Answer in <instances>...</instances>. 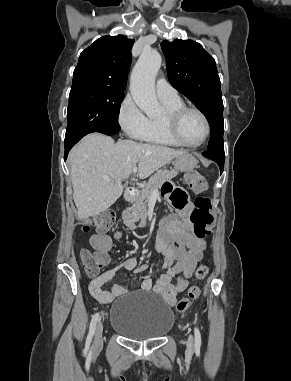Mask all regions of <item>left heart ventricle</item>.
<instances>
[{"label": "left heart ventricle", "mask_w": 291, "mask_h": 381, "mask_svg": "<svg viewBox=\"0 0 291 381\" xmlns=\"http://www.w3.org/2000/svg\"><path fill=\"white\" fill-rule=\"evenodd\" d=\"M181 137L190 144L199 143L205 134L203 119L195 112H187L179 123Z\"/></svg>", "instance_id": "obj_1"}]
</instances>
